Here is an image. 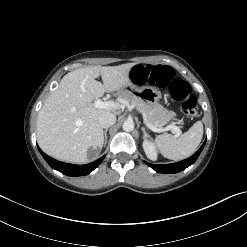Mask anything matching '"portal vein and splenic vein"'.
I'll return each mask as SVG.
<instances>
[{"instance_id":"obj_1","label":"portal vein and splenic vein","mask_w":247,"mask_h":247,"mask_svg":"<svg viewBox=\"0 0 247 247\" xmlns=\"http://www.w3.org/2000/svg\"><path fill=\"white\" fill-rule=\"evenodd\" d=\"M94 106L96 108H104V109H117V108L120 107L119 104H117V103H115L113 101L104 102V101H102L100 99H97L94 102ZM144 124L154 132H163V131L172 130V131L175 132V137H179L180 133H181L180 129L177 126L173 125V124L167 126L166 128H157V127L151 125L146 119H144Z\"/></svg>"}]
</instances>
